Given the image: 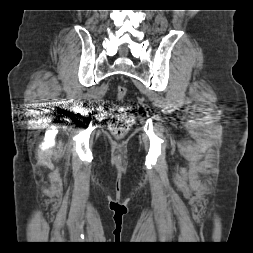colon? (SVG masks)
Returning <instances> with one entry per match:
<instances>
[{
    "label": "colon",
    "mask_w": 253,
    "mask_h": 253,
    "mask_svg": "<svg viewBox=\"0 0 253 253\" xmlns=\"http://www.w3.org/2000/svg\"><path fill=\"white\" fill-rule=\"evenodd\" d=\"M127 94V89L119 85L116 90V96L122 101ZM135 120L133 109L130 106L121 105L116 113L109 120V130L115 138H122L129 131Z\"/></svg>",
    "instance_id": "1"
}]
</instances>
